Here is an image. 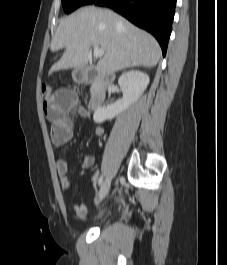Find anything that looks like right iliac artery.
Returning a JSON list of instances; mask_svg holds the SVG:
<instances>
[{"label":"right iliac artery","mask_w":227,"mask_h":265,"mask_svg":"<svg viewBox=\"0 0 227 265\" xmlns=\"http://www.w3.org/2000/svg\"><path fill=\"white\" fill-rule=\"evenodd\" d=\"M103 183V176H100L99 180H98V185L101 186Z\"/></svg>","instance_id":"right-iliac-artery-1"}]
</instances>
